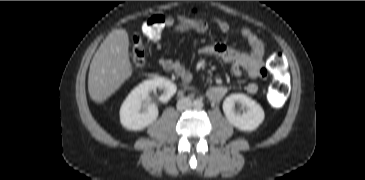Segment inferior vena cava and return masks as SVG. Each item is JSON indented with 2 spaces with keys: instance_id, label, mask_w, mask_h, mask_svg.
Instances as JSON below:
<instances>
[{
  "instance_id": "inferior-vena-cava-1",
  "label": "inferior vena cava",
  "mask_w": 365,
  "mask_h": 180,
  "mask_svg": "<svg viewBox=\"0 0 365 180\" xmlns=\"http://www.w3.org/2000/svg\"><path fill=\"white\" fill-rule=\"evenodd\" d=\"M191 107H192V101L188 97H183L179 99L177 102V110L179 111L189 110Z\"/></svg>"
}]
</instances>
